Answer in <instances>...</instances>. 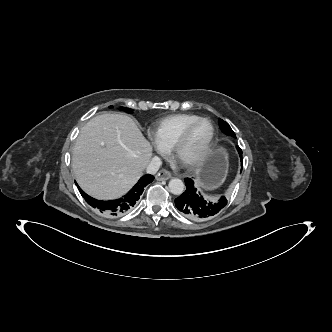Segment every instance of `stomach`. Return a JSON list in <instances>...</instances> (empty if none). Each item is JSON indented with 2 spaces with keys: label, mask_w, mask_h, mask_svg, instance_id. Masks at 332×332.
<instances>
[{
  "label": "stomach",
  "mask_w": 332,
  "mask_h": 332,
  "mask_svg": "<svg viewBox=\"0 0 332 332\" xmlns=\"http://www.w3.org/2000/svg\"><path fill=\"white\" fill-rule=\"evenodd\" d=\"M227 173V157L222 148L209 151L197 169V186L204 191L218 188Z\"/></svg>",
  "instance_id": "stomach-1"
}]
</instances>
